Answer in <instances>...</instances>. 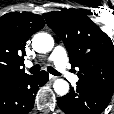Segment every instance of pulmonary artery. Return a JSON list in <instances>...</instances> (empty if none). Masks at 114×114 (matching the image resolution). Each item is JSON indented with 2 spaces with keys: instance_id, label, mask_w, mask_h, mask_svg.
Returning <instances> with one entry per match:
<instances>
[{
  "instance_id": "pulmonary-artery-1",
  "label": "pulmonary artery",
  "mask_w": 114,
  "mask_h": 114,
  "mask_svg": "<svg viewBox=\"0 0 114 114\" xmlns=\"http://www.w3.org/2000/svg\"><path fill=\"white\" fill-rule=\"evenodd\" d=\"M49 61L53 62L56 68L64 75L69 81L75 83L78 81V77L69 72L67 67V53L61 46H57L49 57ZM32 63H27V66H31Z\"/></svg>"
}]
</instances>
